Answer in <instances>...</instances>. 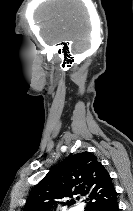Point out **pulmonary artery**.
<instances>
[{"instance_id": "obj_1", "label": "pulmonary artery", "mask_w": 133, "mask_h": 211, "mask_svg": "<svg viewBox=\"0 0 133 211\" xmlns=\"http://www.w3.org/2000/svg\"><path fill=\"white\" fill-rule=\"evenodd\" d=\"M70 211H80V210H78V209H76V208H73V209H71Z\"/></svg>"}]
</instances>
